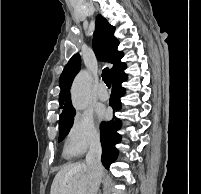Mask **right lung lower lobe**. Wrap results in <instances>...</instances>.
Here are the masks:
<instances>
[{
  "label": "right lung lower lobe",
  "mask_w": 201,
  "mask_h": 194,
  "mask_svg": "<svg viewBox=\"0 0 201 194\" xmlns=\"http://www.w3.org/2000/svg\"><path fill=\"white\" fill-rule=\"evenodd\" d=\"M123 70L112 77V93L109 105L114 111H118L121 108L120 97L125 93V88L121 86V83L127 79V75ZM120 126L121 122L116 118L101 123V143L103 149L101 161L106 169H109V166L116 160L118 155L115 144L119 143L121 139L117 133Z\"/></svg>",
  "instance_id": "right-lung-lower-lobe-1"
}]
</instances>
